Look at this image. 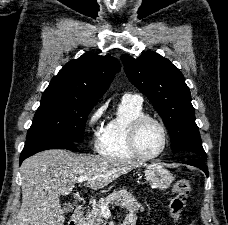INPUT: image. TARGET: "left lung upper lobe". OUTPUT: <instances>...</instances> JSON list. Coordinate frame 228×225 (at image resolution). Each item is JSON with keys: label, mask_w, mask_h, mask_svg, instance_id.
Here are the masks:
<instances>
[{"label": "left lung upper lobe", "mask_w": 228, "mask_h": 225, "mask_svg": "<svg viewBox=\"0 0 228 225\" xmlns=\"http://www.w3.org/2000/svg\"><path fill=\"white\" fill-rule=\"evenodd\" d=\"M129 80L152 102L171 137L174 153L206 158L195 123L191 95L180 70L168 59L148 51L138 58L121 56Z\"/></svg>", "instance_id": "5c2ea615"}]
</instances>
